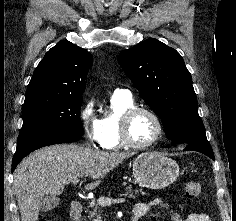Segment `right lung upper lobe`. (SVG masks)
<instances>
[{"mask_svg": "<svg viewBox=\"0 0 236 221\" xmlns=\"http://www.w3.org/2000/svg\"><path fill=\"white\" fill-rule=\"evenodd\" d=\"M93 56L62 40L52 47L34 70L26 95L47 93L81 96Z\"/></svg>", "mask_w": 236, "mask_h": 221, "instance_id": "1", "label": "right lung upper lobe"}]
</instances>
